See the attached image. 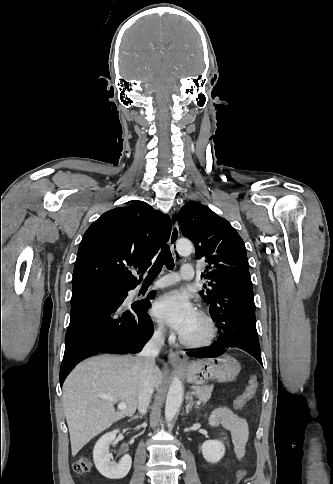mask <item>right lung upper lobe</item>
I'll use <instances>...</instances> for the list:
<instances>
[{
  "mask_svg": "<svg viewBox=\"0 0 333 484\" xmlns=\"http://www.w3.org/2000/svg\"><path fill=\"white\" fill-rule=\"evenodd\" d=\"M171 219L138 202L107 211L85 232L73 272V289L106 286L135 288L169 239ZM1 365V354H0Z\"/></svg>",
  "mask_w": 333,
  "mask_h": 484,
  "instance_id": "right-lung-upper-lobe-1",
  "label": "right lung upper lobe"
}]
</instances>
